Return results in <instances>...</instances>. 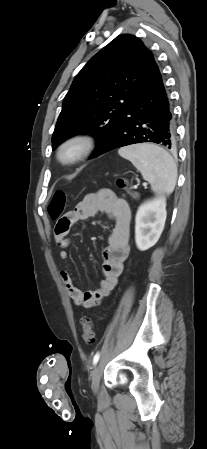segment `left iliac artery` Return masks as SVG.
Returning <instances> with one entry per match:
<instances>
[{
	"label": "left iliac artery",
	"mask_w": 207,
	"mask_h": 449,
	"mask_svg": "<svg viewBox=\"0 0 207 449\" xmlns=\"http://www.w3.org/2000/svg\"><path fill=\"white\" fill-rule=\"evenodd\" d=\"M100 354L97 352L93 357V365H96L99 361Z\"/></svg>",
	"instance_id": "1"
}]
</instances>
